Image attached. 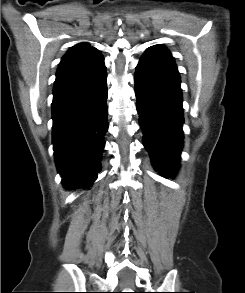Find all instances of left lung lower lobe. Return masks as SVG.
I'll return each instance as SVG.
<instances>
[{"label": "left lung lower lobe", "mask_w": 245, "mask_h": 293, "mask_svg": "<svg viewBox=\"0 0 245 293\" xmlns=\"http://www.w3.org/2000/svg\"><path fill=\"white\" fill-rule=\"evenodd\" d=\"M134 80L143 144L155 169L172 176L179 167L184 117L179 72L170 51L149 47Z\"/></svg>", "instance_id": "0a47b994"}]
</instances>
